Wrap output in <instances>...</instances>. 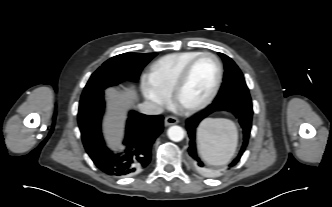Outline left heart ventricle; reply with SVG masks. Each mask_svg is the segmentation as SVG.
Returning <instances> with one entry per match:
<instances>
[{
    "instance_id": "left-heart-ventricle-1",
    "label": "left heart ventricle",
    "mask_w": 332,
    "mask_h": 207,
    "mask_svg": "<svg viewBox=\"0 0 332 207\" xmlns=\"http://www.w3.org/2000/svg\"><path fill=\"white\" fill-rule=\"evenodd\" d=\"M217 77V65L213 58L202 57L193 66L188 81L184 86L180 102L190 106L204 100L211 92Z\"/></svg>"
}]
</instances>
